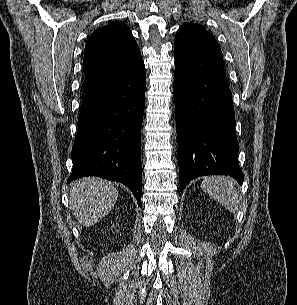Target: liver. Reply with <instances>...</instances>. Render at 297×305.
Masks as SVG:
<instances>
[{
    "instance_id": "1",
    "label": "liver",
    "mask_w": 297,
    "mask_h": 305,
    "mask_svg": "<svg viewBox=\"0 0 297 305\" xmlns=\"http://www.w3.org/2000/svg\"><path fill=\"white\" fill-rule=\"evenodd\" d=\"M118 191L112 182L87 177L71 183L69 202L75 218L90 227L105 217L114 207Z\"/></svg>"
}]
</instances>
